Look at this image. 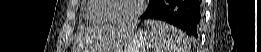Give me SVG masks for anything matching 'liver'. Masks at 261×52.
I'll return each instance as SVG.
<instances>
[{"mask_svg":"<svg viewBox=\"0 0 261 52\" xmlns=\"http://www.w3.org/2000/svg\"><path fill=\"white\" fill-rule=\"evenodd\" d=\"M133 27H128L126 34H128ZM120 32L117 30L111 31L110 29L106 28L103 32L100 33L101 39V47L108 48L112 47L116 43V39L118 38Z\"/></svg>","mask_w":261,"mask_h":52,"instance_id":"1","label":"liver"}]
</instances>
